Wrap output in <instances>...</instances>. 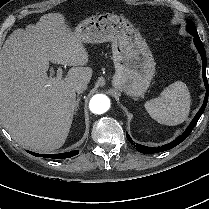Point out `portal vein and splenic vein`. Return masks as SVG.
Returning a JSON list of instances; mask_svg holds the SVG:
<instances>
[{
    "instance_id": "portal-vein-and-splenic-vein-1",
    "label": "portal vein and splenic vein",
    "mask_w": 209,
    "mask_h": 209,
    "mask_svg": "<svg viewBox=\"0 0 209 209\" xmlns=\"http://www.w3.org/2000/svg\"><path fill=\"white\" fill-rule=\"evenodd\" d=\"M62 76H63L62 75V69L61 68H58L57 69V73H56V77L51 78L50 85H52L55 82H58V81L62 80Z\"/></svg>"
}]
</instances>
